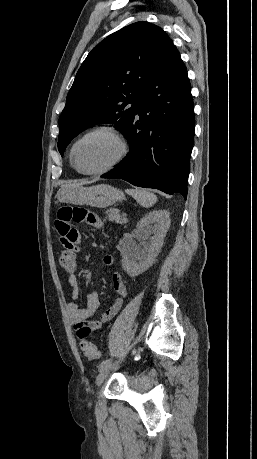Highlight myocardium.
<instances>
[{
	"label": "myocardium",
	"mask_w": 257,
	"mask_h": 459,
	"mask_svg": "<svg viewBox=\"0 0 257 459\" xmlns=\"http://www.w3.org/2000/svg\"><path fill=\"white\" fill-rule=\"evenodd\" d=\"M99 133H105V134H108V135L112 136L119 144V147H120L119 153L114 158V160L111 161L108 165H106V166H104V167H102L100 169H96V170H92V171H84V170L80 169L79 166L76 163V160H75L76 147L84 139H86V138H88V137H90L92 135L99 134ZM127 153H128V145H127V142H126L125 138L120 133V131L118 129H116L115 127H113V126L102 125V126H98V127H95L93 129L87 131L86 133L81 135L73 143V145L71 147V150H70V161H71V164L73 165V167L81 174H84V175H100V174L107 173V172L113 170L114 168H116L124 160V158L126 157Z\"/></svg>",
	"instance_id": "obj_1"
}]
</instances>
